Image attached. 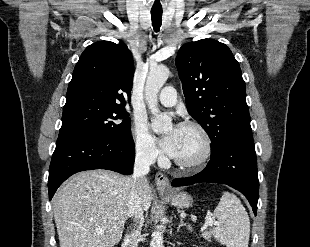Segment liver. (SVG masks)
<instances>
[{
	"label": "liver",
	"instance_id": "6515ba94",
	"mask_svg": "<svg viewBox=\"0 0 310 247\" xmlns=\"http://www.w3.org/2000/svg\"><path fill=\"white\" fill-rule=\"evenodd\" d=\"M128 177L107 170L75 174L53 197L54 219L60 247H112L120 241L127 218ZM152 188H142L144 210L152 201ZM102 230L103 234H97Z\"/></svg>",
	"mask_w": 310,
	"mask_h": 247
}]
</instances>
